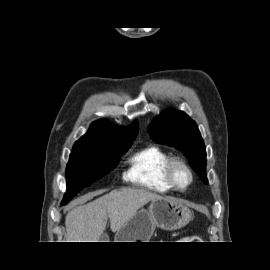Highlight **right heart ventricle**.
<instances>
[{"label": "right heart ventricle", "instance_id": "obj_1", "mask_svg": "<svg viewBox=\"0 0 270 270\" xmlns=\"http://www.w3.org/2000/svg\"><path fill=\"white\" fill-rule=\"evenodd\" d=\"M170 158V155L159 146L143 147L128 158L124 179L137 187L156 193L173 191L165 175Z\"/></svg>", "mask_w": 270, "mask_h": 270}]
</instances>
